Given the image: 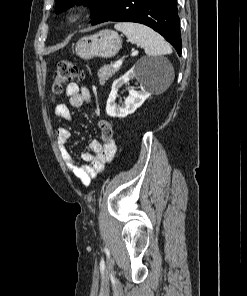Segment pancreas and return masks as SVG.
Wrapping results in <instances>:
<instances>
[{
  "label": "pancreas",
  "mask_w": 247,
  "mask_h": 296,
  "mask_svg": "<svg viewBox=\"0 0 247 296\" xmlns=\"http://www.w3.org/2000/svg\"><path fill=\"white\" fill-rule=\"evenodd\" d=\"M118 68H113L112 65H105L101 67L98 71L99 83L104 85L106 81L112 77L116 72H118Z\"/></svg>",
  "instance_id": "cf45deb5"
}]
</instances>
